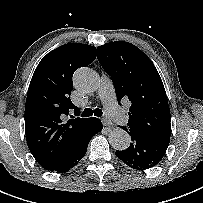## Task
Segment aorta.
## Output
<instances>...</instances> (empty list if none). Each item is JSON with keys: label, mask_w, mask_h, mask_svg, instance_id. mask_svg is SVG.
Masks as SVG:
<instances>
[{"label": "aorta", "mask_w": 203, "mask_h": 203, "mask_svg": "<svg viewBox=\"0 0 203 203\" xmlns=\"http://www.w3.org/2000/svg\"><path fill=\"white\" fill-rule=\"evenodd\" d=\"M99 77L89 68H79L74 74V85L83 94H90L97 90ZM109 143L115 150H126L131 143L130 135L121 128H116L109 133Z\"/></svg>", "instance_id": "1"}]
</instances>
